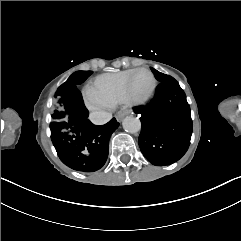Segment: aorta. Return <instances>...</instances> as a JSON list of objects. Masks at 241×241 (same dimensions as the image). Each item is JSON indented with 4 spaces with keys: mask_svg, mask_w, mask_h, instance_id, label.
<instances>
[{
    "mask_svg": "<svg viewBox=\"0 0 241 241\" xmlns=\"http://www.w3.org/2000/svg\"><path fill=\"white\" fill-rule=\"evenodd\" d=\"M123 129L128 133H137L141 129V122L139 118L134 116H127L122 122Z\"/></svg>",
    "mask_w": 241,
    "mask_h": 241,
    "instance_id": "aorta-1",
    "label": "aorta"
}]
</instances>
